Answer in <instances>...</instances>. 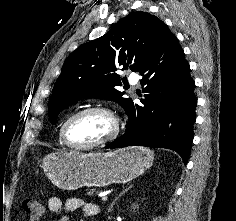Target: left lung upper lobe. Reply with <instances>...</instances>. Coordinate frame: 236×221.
<instances>
[{"mask_svg": "<svg viewBox=\"0 0 236 221\" xmlns=\"http://www.w3.org/2000/svg\"><path fill=\"white\" fill-rule=\"evenodd\" d=\"M167 25L150 13L138 11L117 22L104 36L84 43L66 59L48 104L52 124L64 107L87 97L116 100L126 111L132 100L122 98L116 71L139 72L158 48Z\"/></svg>", "mask_w": 236, "mask_h": 221, "instance_id": "obj_1", "label": "left lung upper lobe"}]
</instances>
